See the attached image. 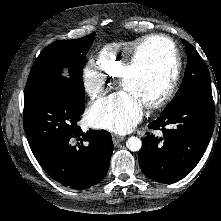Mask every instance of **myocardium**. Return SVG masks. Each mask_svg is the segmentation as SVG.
Listing matches in <instances>:
<instances>
[{"instance_id":"1","label":"myocardium","mask_w":221,"mask_h":221,"mask_svg":"<svg viewBox=\"0 0 221 221\" xmlns=\"http://www.w3.org/2000/svg\"><path fill=\"white\" fill-rule=\"evenodd\" d=\"M156 39L164 40L169 44L173 58V68L164 89L157 92L151 101L144 103V106L149 109H158L162 107L171 98L176 88L177 80L181 72L182 60L175 41L170 36L162 33L150 34L142 37L131 50L128 61L119 77L121 87L126 90L127 78L136 66L141 50L147 43Z\"/></svg>"}]
</instances>
